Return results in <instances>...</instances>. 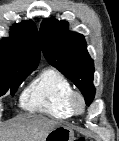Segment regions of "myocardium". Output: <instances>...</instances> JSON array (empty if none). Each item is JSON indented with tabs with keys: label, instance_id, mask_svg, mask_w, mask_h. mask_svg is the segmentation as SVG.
Masks as SVG:
<instances>
[{
	"label": "myocardium",
	"instance_id": "1",
	"mask_svg": "<svg viewBox=\"0 0 119 141\" xmlns=\"http://www.w3.org/2000/svg\"><path fill=\"white\" fill-rule=\"evenodd\" d=\"M68 106L72 115L82 114L85 110V100L78 91H72L68 97Z\"/></svg>",
	"mask_w": 119,
	"mask_h": 141
}]
</instances>
